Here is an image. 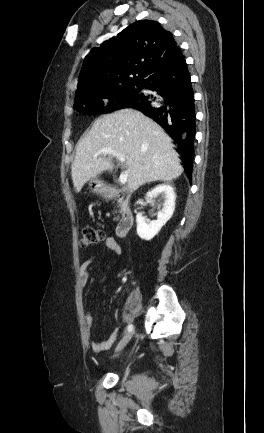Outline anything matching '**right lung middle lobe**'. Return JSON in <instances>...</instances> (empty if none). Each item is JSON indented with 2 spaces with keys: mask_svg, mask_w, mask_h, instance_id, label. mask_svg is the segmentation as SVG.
Masks as SVG:
<instances>
[{
  "mask_svg": "<svg viewBox=\"0 0 264 433\" xmlns=\"http://www.w3.org/2000/svg\"><path fill=\"white\" fill-rule=\"evenodd\" d=\"M139 84H127L75 101L74 109L87 114H105L122 108L129 100L139 95Z\"/></svg>",
  "mask_w": 264,
  "mask_h": 433,
  "instance_id": "right-lung-middle-lobe-1",
  "label": "right lung middle lobe"
}]
</instances>
